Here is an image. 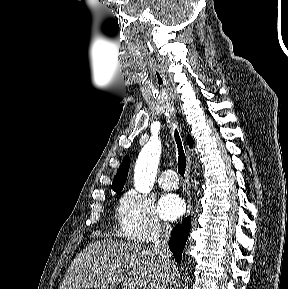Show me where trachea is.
<instances>
[{
    "label": "trachea",
    "instance_id": "obj_1",
    "mask_svg": "<svg viewBox=\"0 0 288 289\" xmlns=\"http://www.w3.org/2000/svg\"><path fill=\"white\" fill-rule=\"evenodd\" d=\"M174 138L178 147V172L181 176H184L186 168V157L182 147V142L178 131L175 129Z\"/></svg>",
    "mask_w": 288,
    "mask_h": 289
}]
</instances>
